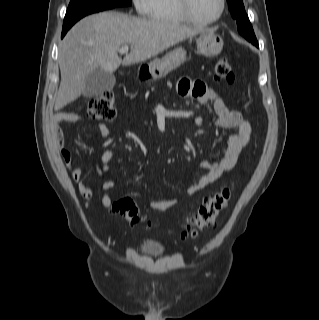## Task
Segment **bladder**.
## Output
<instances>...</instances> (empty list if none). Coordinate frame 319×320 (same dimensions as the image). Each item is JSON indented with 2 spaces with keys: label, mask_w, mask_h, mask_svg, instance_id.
Returning a JSON list of instances; mask_svg holds the SVG:
<instances>
[{
  "label": "bladder",
  "mask_w": 319,
  "mask_h": 320,
  "mask_svg": "<svg viewBox=\"0 0 319 320\" xmlns=\"http://www.w3.org/2000/svg\"><path fill=\"white\" fill-rule=\"evenodd\" d=\"M165 246L157 241L146 240L140 247V251L146 255H159L163 253Z\"/></svg>",
  "instance_id": "obj_1"
}]
</instances>
